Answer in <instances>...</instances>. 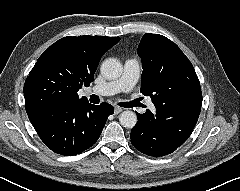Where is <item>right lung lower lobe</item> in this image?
Returning <instances> with one entry per match:
<instances>
[{
  "instance_id": "right-lung-lower-lobe-1",
  "label": "right lung lower lobe",
  "mask_w": 240,
  "mask_h": 191,
  "mask_svg": "<svg viewBox=\"0 0 240 191\" xmlns=\"http://www.w3.org/2000/svg\"><path fill=\"white\" fill-rule=\"evenodd\" d=\"M114 108L107 104L62 102L45 106L28 114L40 139L53 152L76 155L97 142Z\"/></svg>"
}]
</instances>
